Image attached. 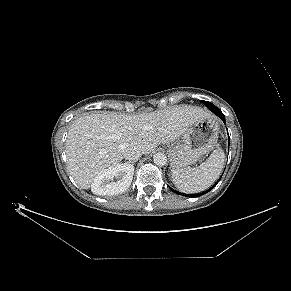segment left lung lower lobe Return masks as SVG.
<instances>
[{
    "label": "left lung lower lobe",
    "instance_id": "0a47b994",
    "mask_svg": "<svg viewBox=\"0 0 291 291\" xmlns=\"http://www.w3.org/2000/svg\"><path fill=\"white\" fill-rule=\"evenodd\" d=\"M211 111H213L217 116H219L222 120H223V122L225 123V116L223 115V113L220 111V109H218V108H214V109H212ZM220 180V179H219ZM219 180L211 187V188H209L207 191H205V192H202L201 194H196V195H193V197H198V196H200V195H203V194H205L206 192H209L218 182H219ZM185 196H187V197H189V195H185ZM190 197H191V195H190Z\"/></svg>",
    "mask_w": 291,
    "mask_h": 291
}]
</instances>
